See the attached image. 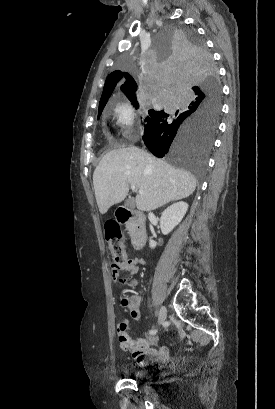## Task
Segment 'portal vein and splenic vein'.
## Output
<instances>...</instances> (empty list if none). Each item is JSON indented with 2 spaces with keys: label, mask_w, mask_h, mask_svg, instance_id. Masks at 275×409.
Segmentation results:
<instances>
[{
  "label": "portal vein and splenic vein",
  "mask_w": 275,
  "mask_h": 409,
  "mask_svg": "<svg viewBox=\"0 0 275 409\" xmlns=\"http://www.w3.org/2000/svg\"><path fill=\"white\" fill-rule=\"evenodd\" d=\"M131 188H132V190H134V188H136V186H134V184H132ZM138 192H140V194H144V190H138Z\"/></svg>",
  "instance_id": "1"
}]
</instances>
